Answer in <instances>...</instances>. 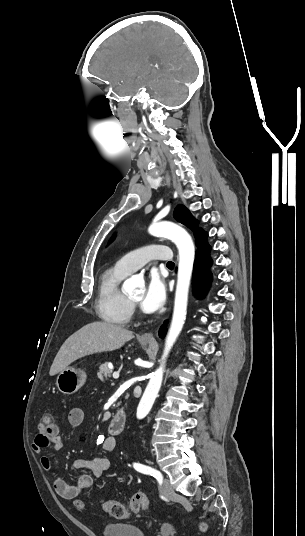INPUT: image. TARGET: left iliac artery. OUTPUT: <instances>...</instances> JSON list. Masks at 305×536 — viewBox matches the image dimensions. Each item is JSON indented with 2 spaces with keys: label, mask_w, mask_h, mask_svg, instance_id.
I'll return each mask as SVG.
<instances>
[{
  "label": "left iliac artery",
  "mask_w": 305,
  "mask_h": 536,
  "mask_svg": "<svg viewBox=\"0 0 305 536\" xmlns=\"http://www.w3.org/2000/svg\"><path fill=\"white\" fill-rule=\"evenodd\" d=\"M133 466H134V468H135L137 471H139V472H141V473H143V474H148V475L153 476L154 478L157 479V481H158L159 483L162 484V479H163V477H162V474L160 473V471L155 470V469H153V468H151V467H148V466L139 464V463H134Z\"/></svg>",
  "instance_id": "obj_1"
}]
</instances>
